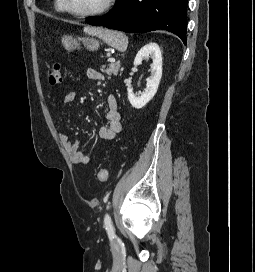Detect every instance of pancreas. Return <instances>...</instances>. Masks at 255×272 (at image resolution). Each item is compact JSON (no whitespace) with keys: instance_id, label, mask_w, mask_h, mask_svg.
I'll return each instance as SVG.
<instances>
[{"instance_id":"cf45deb5","label":"pancreas","mask_w":255,"mask_h":272,"mask_svg":"<svg viewBox=\"0 0 255 272\" xmlns=\"http://www.w3.org/2000/svg\"><path fill=\"white\" fill-rule=\"evenodd\" d=\"M120 69V62H116V63H111L107 66H102L101 67V72L106 73L108 76L113 75H117Z\"/></svg>"}]
</instances>
